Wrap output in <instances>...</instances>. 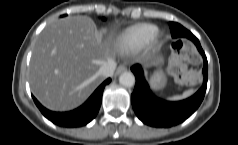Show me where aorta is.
I'll list each match as a JSON object with an SVG mask.
<instances>
[{
  "instance_id": "1",
  "label": "aorta",
  "mask_w": 238,
  "mask_h": 145,
  "mask_svg": "<svg viewBox=\"0 0 238 145\" xmlns=\"http://www.w3.org/2000/svg\"><path fill=\"white\" fill-rule=\"evenodd\" d=\"M119 82L125 87H132L135 84V77L133 73L125 71L120 75Z\"/></svg>"
}]
</instances>
